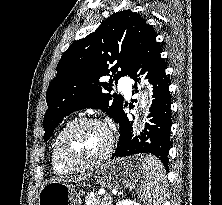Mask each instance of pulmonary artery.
Wrapping results in <instances>:
<instances>
[{"instance_id":"e3ab8cb5","label":"pulmonary artery","mask_w":222,"mask_h":205,"mask_svg":"<svg viewBox=\"0 0 222 205\" xmlns=\"http://www.w3.org/2000/svg\"><path fill=\"white\" fill-rule=\"evenodd\" d=\"M119 89L123 90L127 95H130L131 91V79L128 76H123L118 81Z\"/></svg>"}]
</instances>
